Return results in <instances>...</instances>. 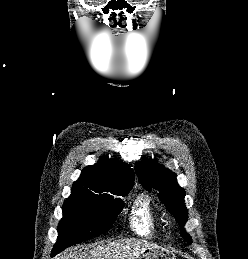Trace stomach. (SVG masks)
I'll return each instance as SVG.
<instances>
[{"mask_svg": "<svg viewBox=\"0 0 248 259\" xmlns=\"http://www.w3.org/2000/svg\"><path fill=\"white\" fill-rule=\"evenodd\" d=\"M136 259H176V256L161 247H152L143 251Z\"/></svg>", "mask_w": 248, "mask_h": 259, "instance_id": "0dacf381", "label": "stomach"}]
</instances>
